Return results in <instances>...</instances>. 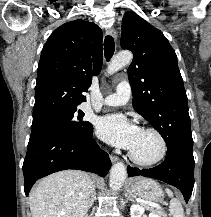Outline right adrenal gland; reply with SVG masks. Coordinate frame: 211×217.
Listing matches in <instances>:
<instances>
[{
    "label": "right adrenal gland",
    "mask_w": 211,
    "mask_h": 217,
    "mask_svg": "<svg viewBox=\"0 0 211 217\" xmlns=\"http://www.w3.org/2000/svg\"><path fill=\"white\" fill-rule=\"evenodd\" d=\"M96 193H95V186L92 192L91 197L89 198V207H91L93 205L94 199H95Z\"/></svg>",
    "instance_id": "obj_1"
}]
</instances>
